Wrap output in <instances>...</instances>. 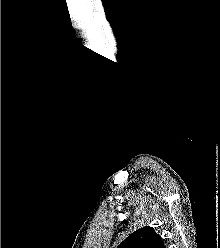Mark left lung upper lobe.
<instances>
[{
	"instance_id": "1",
	"label": "left lung upper lobe",
	"mask_w": 220,
	"mask_h": 248,
	"mask_svg": "<svg viewBox=\"0 0 220 248\" xmlns=\"http://www.w3.org/2000/svg\"><path fill=\"white\" fill-rule=\"evenodd\" d=\"M117 248H165L160 235L150 226L130 234Z\"/></svg>"
}]
</instances>
